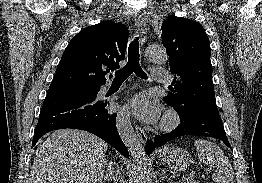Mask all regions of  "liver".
<instances>
[{
	"label": "liver",
	"mask_w": 262,
	"mask_h": 183,
	"mask_svg": "<svg viewBox=\"0 0 262 183\" xmlns=\"http://www.w3.org/2000/svg\"><path fill=\"white\" fill-rule=\"evenodd\" d=\"M107 149L86 131L56 130L36 150L29 183H103Z\"/></svg>",
	"instance_id": "liver-1"
}]
</instances>
